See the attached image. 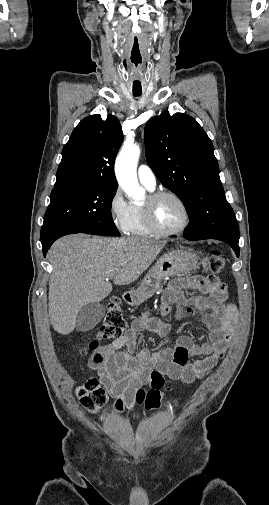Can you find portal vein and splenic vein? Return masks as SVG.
Here are the masks:
<instances>
[{
  "label": "portal vein and splenic vein",
  "instance_id": "18ae733b",
  "mask_svg": "<svg viewBox=\"0 0 269 505\" xmlns=\"http://www.w3.org/2000/svg\"><path fill=\"white\" fill-rule=\"evenodd\" d=\"M112 278H113V275H109V276L107 277V280H108V279H112Z\"/></svg>",
  "mask_w": 269,
  "mask_h": 505
}]
</instances>
